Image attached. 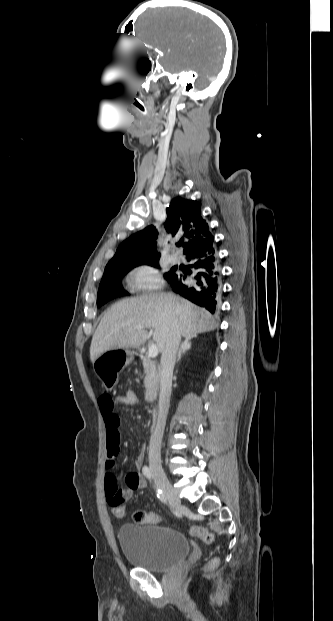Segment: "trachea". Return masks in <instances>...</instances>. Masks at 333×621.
<instances>
[{"label": "trachea", "instance_id": "3493384b", "mask_svg": "<svg viewBox=\"0 0 333 621\" xmlns=\"http://www.w3.org/2000/svg\"><path fill=\"white\" fill-rule=\"evenodd\" d=\"M181 245H182L181 243L178 244V246H181Z\"/></svg>", "mask_w": 333, "mask_h": 621}]
</instances>
